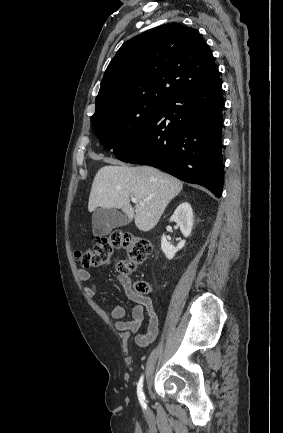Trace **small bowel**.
<instances>
[{"mask_svg":"<svg viewBox=\"0 0 283 433\" xmlns=\"http://www.w3.org/2000/svg\"><path fill=\"white\" fill-rule=\"evenodd\" d=\"M78 277L82 282L87 283L84 288L85 294L89 297H93L96 293V286L93 283L90 272L85 269H80L78 271ZM121 283L126 296L135 303V306L132 309L131 320H123L126 314L125 308L120 304L111 305V317L115 320V328L118 331L135 333L140 329L145 315H147L148 324L146 333L139 334L135 338L139 346H147L156 339L159 333V318L152 299L147 295L135 292L131 286V280L128 277H123Z\"/></svg>","mask_w":283,"mask_h":433,"instance_id":"c3829d8e","label":"small bowel"}]
</instances>
